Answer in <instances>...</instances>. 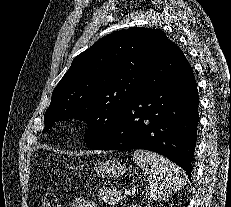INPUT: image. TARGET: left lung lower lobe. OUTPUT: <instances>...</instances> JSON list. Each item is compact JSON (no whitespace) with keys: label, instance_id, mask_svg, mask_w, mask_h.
<instances>
[{"label":"left lung lower lobe","instance_id":"1","mask_svg":"<svg viewBox=\"0 0 231 207\" xmlns=\"http://www.w3.org/2000/svg\"><path fill=\"white\" fill-rule=\"evenodd\" d=\"M199 96L191 66L173 43L143 78V90L96 150L146 149L182 167L191 178Z\"/></svg>","mask_w":231,"mask_h":207}]
</instances>
